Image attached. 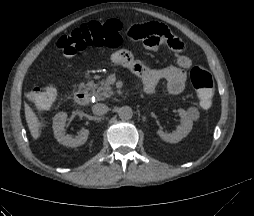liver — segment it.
I'll list each match as a JSON object with an SVG mask.
<instances>
[{
  "label": "liver",
  "mask_w": 254,
  "mask_h": 216,
  "mask_svg": "<svg viewBox=\"0 0 254 216\" xmlns=\"http://www.w3.org/2000/svg\"><path fill=\"white\" fill-rule=\"evenodd\" d=\"M25 118L32 137L36 140L40 136V122L33 110L25 104Z\"/></svg>",
  "instance_id": "6515ba94"
}]
</instances>
